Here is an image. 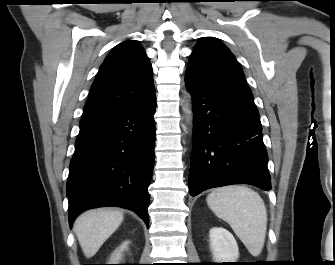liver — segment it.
Listing matches in <instances>:
<instances>
[{"instance_id": "6515ba94", "label": "liver", "mask_w": 335, "mask_h": 265, "mask_svg": "<svg viewBox=\"0 0 335 265\" xmlns=\"http://www.w3.org/2000/svg\"><path fill=\"white\" fill-rule=\"evenodd\" d=\"M123 212L98 208L84 212L74 222V232L86 258L93 257L102 244L118 229Z\"/></svg>"}]
</instances>
